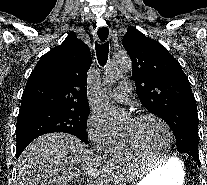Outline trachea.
<instances>
[{
	"label": "trachea",
	"instance_id": "trachea-1",
	"mask_svg": "<svg viewBox=\"0 0 207 185\" xmlns=\"http://www.w3.org/2000/svg\"><path fill=\"white\" fill-rule=\"evenodd\" d=\"M98 37L102 42H105L107 40L109 31L107 27H102L98 29ZM95 49H96V55L97 59L100 65H105L108 57V52H109V43L105 42L102 45H99V43L96 42L95 44Z\"/></svg>",
	"mask_w": 207,
	"mask_h": 185
}]
</instances>
